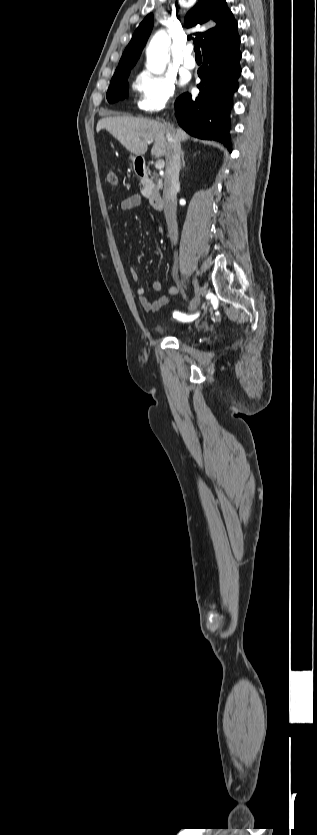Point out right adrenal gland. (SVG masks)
<instances>
[{
    "label": "right adrenal gland",
    "instance_id": "1",
    "mask_svg": "<svg viewBox=\"0 0 317 835\" xmlns=\"http://www.w3.org/2000/svg\"><path fill=\"white\" fill-rule=\"evenodd\" d=\"M181 158H182V167L184 168L185 167V160H184V152L183 151L181 153Z\"/></svg>",
    "mask_w": 317,
    "mask_h": 835
}]
</instances>
